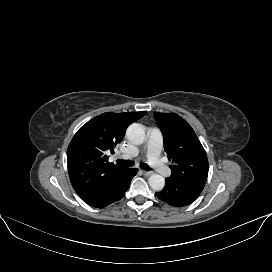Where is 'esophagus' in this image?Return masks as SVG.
<instances>
[{
    "label": "esophagus",
    "mask_w": 272,
    "mask_h": 272,
    "mask_svg": "<svg viewBox=\"0 0 272 272\" xmlns=\"http://www.w3.org/2000/svg\"><path fill=\"white\" fill-rule=\"evenodd\" d=\"M143 172V174L145 175V176H150V175H152V172H149V171H142Z\"/></svg>",
    "instance_id": "34e87169"
}]
</instances>
